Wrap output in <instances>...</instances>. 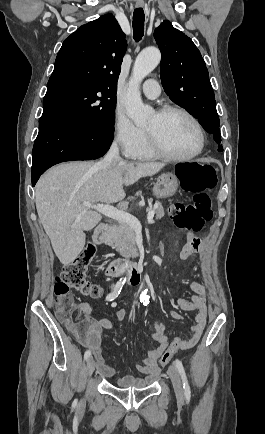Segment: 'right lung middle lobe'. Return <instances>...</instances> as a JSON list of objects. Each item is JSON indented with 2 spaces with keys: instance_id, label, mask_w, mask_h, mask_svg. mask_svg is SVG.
I'll use <instances>...</instances> for the list:
<instances>
[{
  "instance_id": "obj_1",
  "label": "right lung middle lobe",
  "mask_w": 265,
  "mask_h": 434,
  "mask_svg": "<svg viewBox=\"0 0 265 434\" xmlns=\"http://www.w3.org/2000/svg\"><path fill=\"white\" fill-rule=\"evenodd\" d=\"M117 87L88 76L50 78L43 112L56 111L83 127L113 133Z\"/></svg>"
}]
</instances>
